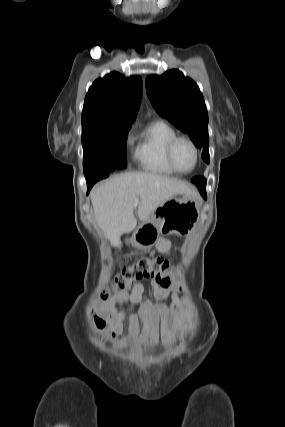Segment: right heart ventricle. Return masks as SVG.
<instances>
[{
  "mask_svg": "<svg viewBox=\"0 0 285 427\" xmlns=\"http://www.w3.org/2000/svg\"><path fill=\"white\" fill-rule=\"evenodd\" d=\"M176 136L175 129L163 120L149 123L139 133L138 143L134 150V158L139 167L155 174H176L166 159L167 145Z\"/></svg>",
  "mask_w": 285,
  "mask_h": 427,
  "instance_id": "e07e8e85",
  "label": "right heart ventricle"
}]
</instances>
